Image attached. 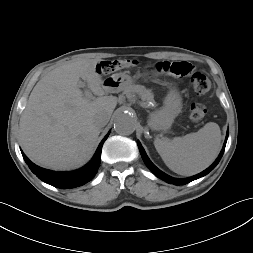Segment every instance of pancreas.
Returning <instances> with one entry per match:
<instances>
[{
  "label": "pancreas",
  "instance_id": "cf45deb5",
  "mask_svg": "<svg viewBox=\"0 0 253 253\" xmlns=\"http://www.w3.org/2000/svg\"><path fill=\"white\" fill-rule=\"evenodd\" d=\"M124 94H136L141 99V105L146 108L150 106V102H154V97L151 91L142 85H130L124 89Z\"/></svg>",
  "mask_w": 253,
  "mask_h": 253
}]
</instances>
